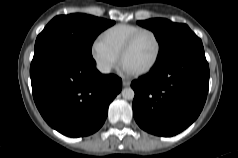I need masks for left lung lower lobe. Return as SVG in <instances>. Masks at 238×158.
I'll use <instances>...</instances> for the list:
<instances>
[{"mask_svg":"<svg viewBox=\"0 0 238 158\" xmlns=\"http://www.w3.org/2000/svg\"><path fill=\"white\" fill-rule=\"evenodd\" d=\"M208 86L209 66L203 45L184 48L131 83L135 121L151 134L176 135L199 116Z\"/></svg>","mask_w":238,"mask_h":158,"instance_id":"left-lung-lower-lobe-1","label":"left lung lower lobe"}]
</instances>
